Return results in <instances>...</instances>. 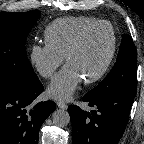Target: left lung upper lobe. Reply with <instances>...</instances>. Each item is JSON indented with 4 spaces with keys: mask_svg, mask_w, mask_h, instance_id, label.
I'll list each match as a JSON object with an SVG mask.
<instances>
[{
    "mask_svg": "<svg viewBox=\"0 0 144 144\" xmlns=\"http://www.w3.org/2000/svg\"><path fill=\"white\" fill-rule=\"evenodd\" d=\"M116 64L109 74L90 93L127 92L136 93L137 52L132 38L124 34Z\"/></svg>",
    "mask_w": 144,
    "mask_h": 144,
    "instance_id": "1",
    "label": "left lung upper lobe"
}]
</instances>
